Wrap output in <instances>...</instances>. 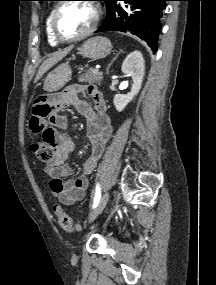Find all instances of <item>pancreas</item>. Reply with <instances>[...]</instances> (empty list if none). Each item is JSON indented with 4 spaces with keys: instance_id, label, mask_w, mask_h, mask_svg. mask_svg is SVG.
<instances>
[{
    "instance_id": "cf45deb5",
    "label": "pancreas",
    "mask_w": 216,
    "mask_h": 285,
    "mask_svg": "<svg viewBox=\"0 0 216 285\" xmlns=\"http://www.w3.org/2000/svg\"><path fill=\"white\" fill-rule=\"evenodd\" d=\"M103 80V73L102 72H97L93 73V69L90 68L85 73L79 75L78 81L79 82H87L90 84H98L101 85V82Z\"/></svg>"
}]
</instances>
